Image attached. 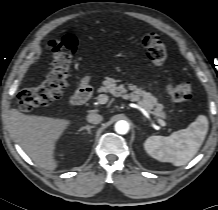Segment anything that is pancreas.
I'll use <instances>...</instances> for the list:
<instances>
[{
    "label": "pancreas",
    "mask_w": 218,
    "mask_h": 210,
    "mask_svg": "<svg viewBox=\"0 0 218 210\" xmlns=\"http://www.w3.org/2000/svg\"><path fill=\"white\" fill-rule=\"evenodd\" d=\"M118 82L113 78H107L101 90L109 92L115 97H122L123 99L137 102L155 117H166V113L163 111V105L158 103L157 98L150 92L144 91L141 87L133 84H129L126 88L124 84L118 85Z\"/></svg>",
    "instance_id": "cf45deb5"
}]
</instances>
